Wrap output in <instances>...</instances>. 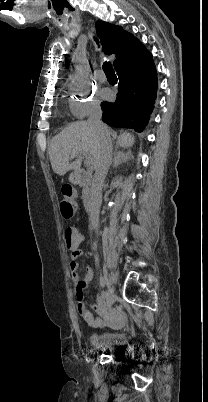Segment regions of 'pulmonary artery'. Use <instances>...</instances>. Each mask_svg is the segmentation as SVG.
Listing matches in <instances>:
<instances>
[{
  "label": "pulmonary artery",
  "instance_id": "e3ab8cb5",
  "mask_svg": "<svg viewBox=\"0 0 208 402\" xmlns=\"http://www.w3.org/2000/svg\"><path fill=\"white\" fill-rule=\"evenodd\" d=\"M80 54V53H79ZM78 54V55H79ZM106 73V70L103 68V67H98L97 69H96V74L98 75V76H103L104 74Z\"/></svg>",
  "mask_w": 208,
  "mask_h": 402
}]
</instances>
